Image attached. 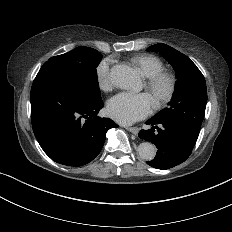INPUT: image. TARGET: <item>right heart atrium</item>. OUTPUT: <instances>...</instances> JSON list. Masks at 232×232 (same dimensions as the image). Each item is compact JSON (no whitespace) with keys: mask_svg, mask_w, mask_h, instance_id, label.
<instances>
[{"mask_svg":"<svg viewBox=\"0 0 232 232\" xmlns=\"http://www.w3.org/2000/svg\"><path fill=\"white\" fill-rule=\"evenodd\" d=\"M125 75V68L122 66L115 67L111 73L109 72V63L107 60L101 62L98 68V77L102 82L108 81L110 78L111 81L117 82Z\"/></svg>","mask_w":232,"mask_h":232,"instance_id":"1","label":"right heart atrium"}]
</instances>
